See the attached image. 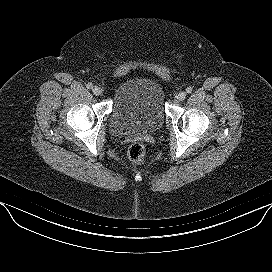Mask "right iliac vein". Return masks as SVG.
Wrapping results in <instances>:
<instances>
[{
  "label": "right iliac vein",
  "mask_w": 272,
  "mask_h": 272,
  "mask_svg": "<svg viewBox=\"0 0 272 272\" xmlns=\"http://www.w3.org/2000/svg\"><path fill=\"white\" fill-rule=\"evenodd\" d=\"M92 92L94 95L99 96L102 94V89L99 86H95L92 88Z\"/></svg>",
  "instance_id": "obj_1"
}]
</instances>
